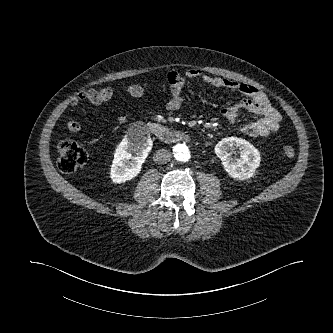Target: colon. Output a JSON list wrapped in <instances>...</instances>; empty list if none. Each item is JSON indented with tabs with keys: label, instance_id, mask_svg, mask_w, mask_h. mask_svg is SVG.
Listing matches in <instances>:
<instances>
[{
	"label": "colon",
	"instance_id": "colon-1",
	"mask_svg": "<svg viewBox=\"0 0 333 333\" xmlns=\"http://www.w3.org/2000/svg\"><path fill=\"white\" fill-rule=\"evenodd\" d=\"M58 160L57 165L61 172L69 174L82 167L87 162L86 150L69 138L61 139L57 144ZM283 154L287 158L295 155V149L286 145L283 148Z\"/></svg>",
	"mask_w": 333,
	"mask_h": 333
}]
</instances>
